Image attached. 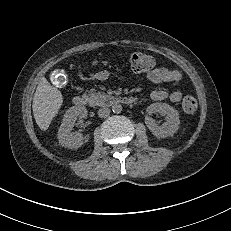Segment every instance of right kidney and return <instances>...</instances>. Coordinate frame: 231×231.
<instances>
[{
	"label": "right kidney",
	"mask_w": 231,
	"mask_h": 231,
	"mask_svg": "<svg viewBox=\"0 0 231 231\" xmlns=\"http://www.w3.org/2000/svg\"><path fill=\"white\" fill-rule=\"evenodd\" d=\"M86 116L87 109L85 107L73 106L66 111L58 131L60 145L70 149H77L82 146L84 141H88L89 135L71 133L77 117L85 118Z\"/></svg>",
	"instance_id": "obj_1"
}]
</instances>
